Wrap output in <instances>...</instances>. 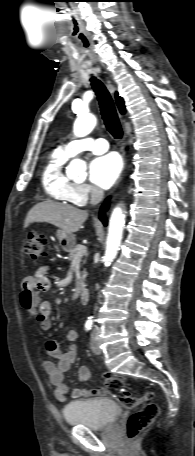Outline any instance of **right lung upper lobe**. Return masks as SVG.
<instances>
[{
  "instance_id": "right-lung-upper-lobe-1",
  "label": "right lung upper lobe",
  "mask_w": 195,
  "mask_h": 456,
  "mask_svg": "<svg viewBox=\"0 0 195 456\" xmlns=\"http://www.w3.org/2000/svg\"><path fill=\"white\" fill-rule=\"evenodd\" d=\"M116 102H117L120 112L122 114H124L125 113L124 101L120 96L117 95V93H116Z\"/></svg>"
}]
</instances>
